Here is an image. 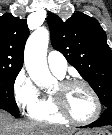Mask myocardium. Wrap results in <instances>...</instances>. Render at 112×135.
<instances>
[{"label":"myocardium","mask_w":112,"mask_h":135,"mask_svg":"<svg viewBox=\"0 0 112 135\" xmlns=\"http://www.w3.org/2000/svg\"><path fill=\"white\" fill-rule=\"evenodd\" d=\"M75 85L84 86L88 90V92L91 94V96L94 100V105H95L94 113L88 119L80 120V119L75 118L68 111V109L66 107L63 92L67 88H69L71 86H75ZM59 86L61 88V93L60 94H51V97H52L55 109L65 120H67L71 123L77 124V125H89V124L95 122L100 117L101 111H102V105H101L100 98H99L97 92L95 91V89L87 81L82 80V79H68V80H63V81L59 82Z\"/></svg>","instance_id":"f54148a6"}]
</instances>
